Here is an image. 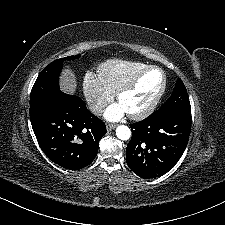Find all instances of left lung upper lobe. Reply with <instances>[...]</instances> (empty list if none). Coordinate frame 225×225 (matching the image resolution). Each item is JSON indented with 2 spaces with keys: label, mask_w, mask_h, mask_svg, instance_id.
<instances>
[{
  "label": "left lung upper lobe",
  "mask_w": 225,
  "mask_h": 225,
  "mask_svg": "<svg viewBox=\"0 0 225 225\" xmlns=\"http://www.w3.org/2000/svg\"><path fill=\"white\" fill-rule=\"evenodd\" d=\"M180 109H191V106L184 83L178 78L173 93L160 107L159 111H174Z\"/></svg>",
  "instance_id": "obj_1"
}]
</instances>
